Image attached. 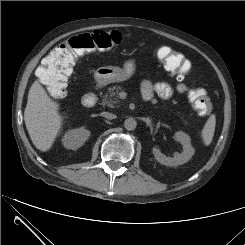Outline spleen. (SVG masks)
Segmentation results:
<instances>
[{"label": "spleen", "instance_id": "3e777b00", "mask_svg": "<svg viewBox=\"0 0 245 245\" xmlns=\"http://www.w3.org/2000/svg\"><path fill=\"white\" fill-rule=\"evenodd\" d=\"M216 125V117L215 115H211L209 119L206 121L203 129H202V140L205 146H209L212 142Z\"/></svg>", "mask_w": 245, "mask_h": 245}]
</instances>
